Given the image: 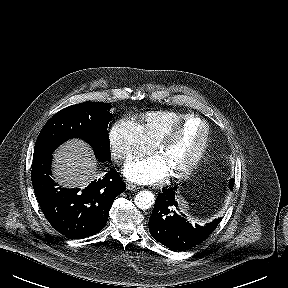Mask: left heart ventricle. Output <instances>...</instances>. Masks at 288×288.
Instances as JSON below:
<instances>
[{"instance_id": "left-heart-ventricle-1", "label": "left heart ventricle", "mask_w": 288, "mask_h": 288, "mask_svg": "<svg viewBox=\"0 0 288 288\" xmlns=\"http://www.w3.org/2000/svg\"><path fill=\"white\" fill-rule=\"evenodd\" d=\"M205 134L203 122L191 120L180 129L172 143L157 152L169 174L182 171L194 159L203 145Z\"/></svg>"}]
</instances>
